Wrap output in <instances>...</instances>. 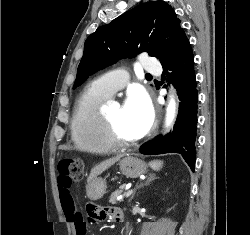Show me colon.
Listing matches in <instances>:
<instances>
[{"label": "colon", "mask_w": 250, "mask_h": 235, "mask_svg": "<svg viewBox=\"0 0 250 235\" xmlns=\"http://www.w3.org/2000/svg\"><path fill=\"white\" fill-rule=\"evenodd\" d=\"M58 170H59V186L61 188L69 189L73 182L80 181L83 178L84 175L83 161L80 158L62 160L58 164ZM76 230H77V235H85L86 233L85 227L80 222H77Z\"/></svg>", "instance_id": "5ec220e1"}]
</instances>
